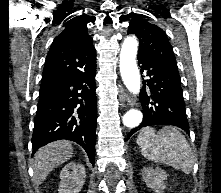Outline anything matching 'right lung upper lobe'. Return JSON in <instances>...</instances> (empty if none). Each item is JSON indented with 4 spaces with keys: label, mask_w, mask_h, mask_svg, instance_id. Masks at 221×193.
<instances>
[{
    "label": "right lung upper lobe",
    "mask_w": 221,
    "mask_h": 193,
    "mask_svg": "<svg viewBox=\"0 0 221 193\" xmlns=\"http://www.w3.org/2000/svg\"><path fill=\"white\" fill-rule=\"evenodd\" d=\"M86 24L80 16L66 20L65 29L54 39L46 57L41 84L79 73L96 63Z\"/></svg>",
    "instance_id": "cb5924a9"
}]
</instances>
